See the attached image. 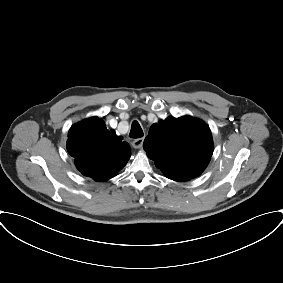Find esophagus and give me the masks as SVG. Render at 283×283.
Wrapping results in <instances>:
<instances>
[{
  "label": "esophagus",
  "mask_w": 283,
  "mask_h": 283,
  "mask_svg": "<svg viewBox=\"0 0 283 283\" xmlns=\"http://www.w3.org/2000/svg\"><path fill=\"white\" fill-rule=\"evenodd\" d=\"M144 138H137L132 141V146L136 149L141 148L143 145Z\"/></svg>",
  "instance_id": "esophagus-1"
}]
</instances>
